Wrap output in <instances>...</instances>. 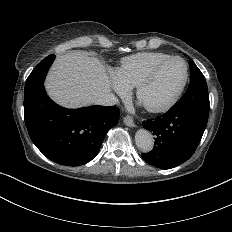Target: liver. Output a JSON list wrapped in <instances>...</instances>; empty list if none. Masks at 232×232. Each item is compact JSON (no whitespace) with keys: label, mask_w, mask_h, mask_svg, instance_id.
I'll list each match as a JSON object with an SVG mask.
<instances>
[{"label":"liver","mask_w":232,"mask_h":232,"mask_svg":"<svg viewBox=\"0 0 232 232\" xmlns=\"http://www.w3.org/2000/svg\"><path fill=\"white\" fill-rule=\"evenodd\" d=\"M45 87L56 103L77 108L96 103L103 94L111 91V82L98 58L75 50L56 58Z\"/></svg>","instance_id":"obj_1"}]
</instances>
